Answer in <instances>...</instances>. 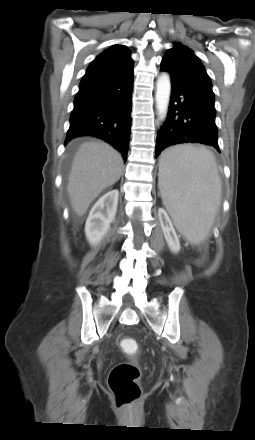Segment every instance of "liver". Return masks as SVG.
<instances>
[{
    "label": "liver",
    "mask_w": 255,
    "mask_h": 440,
    "mask_svg": "<svg viewBox=\"0 0 255 440\" xmlns=\"http://www.w3.org/2000/svg\"><path fill=\"white\" fill-rule=\"evenodd\" d=\"M123 159L109 144L93 140L83 143L72 163L67 192L74 212L83 216L89 205L121 177Z\"/></svg>",
    "instance_id": "6515ba94"
}]
</instances>
